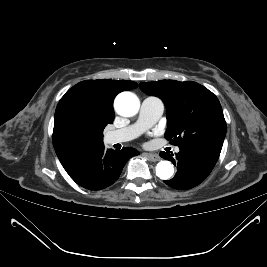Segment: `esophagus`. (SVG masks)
Listing matches in <instances>:
<instances>
[{
  "mask_svg": "<svg viewBox=\"0 0 267 267\" xmlns=\"http://www.w3.org/2000/svg\"><path fill=\"white\" fill-rule=\"evenodd\" d=\"M145 155H146V157H147L149 160H151V161H153V162H156V161H159V160H160V157H159V155H157V154H153V153H145Z\"/></svg>",
  "mask_w": 267,
  "mask_h": 267,
  "instance_id": "1",
  "label": "esophagus"
}]
</instances>
